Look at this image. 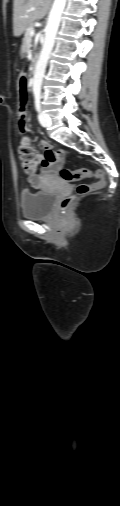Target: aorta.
Here are the masks:
<instances>
[{
    "label": "aorta",
    "instance_id": "obj_1",
    "mask_svg": "<svg viewBox=\"0 0 120 506\" xmlns=\"http://www.w3.org/2000/svg\"><path fill=\"white\" fill-rule=\"evenodd\" d=\"M66 5V0H54L52 9L50 11L48 22L45 28V38L42 50L37 61L34 78H33V93L40 94L43 77L45 74L47 62L49 60L51 51L54 46L56 34L60 25L61 16Z\"/></svg>",
    "mask_w": 120,
    "mask_h": 506
}]
</instances>
